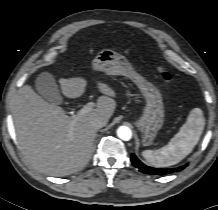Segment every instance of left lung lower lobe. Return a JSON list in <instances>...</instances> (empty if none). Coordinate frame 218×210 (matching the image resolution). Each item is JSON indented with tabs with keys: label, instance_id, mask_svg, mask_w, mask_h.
Wrapping results in <instances>:
<instances>
[{
	"label": "left lung lower lobe",
	"instance_id": "left-lung-lower-lobe-1",
	"mask_svg": "<svg viewBox=\"0 0 218 210\" xmlns=\"http://www.w3.org/2000/svg\"><path fill=\"white\" fill-rule=\"evenodd\" d=\"M132 164L139 169L140 172L150 175H165L173 172H179L184 169L187 165L181 166L173 169H161V168H153L146 166L143 164L134 154L131 155Z\"/></svg>",
	"mask_w": 218,
	"mask_h": 210
}]
</instances>
